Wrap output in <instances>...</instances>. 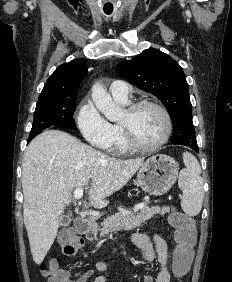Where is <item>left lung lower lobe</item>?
Segmentation results:
<instances>
[{"label":"left lung lower lobe","mask_w":232,"mask_h":282,"mask_svg":"<svg viewBox=\"0 0 232 282\" xmlns=\"http://www.w3.org/2000/svg\"><path fill=\"white\" fill-rule=\"evenodd\" d=\"M172 143L175 144V145L178 144V145L189 146V147H190L191 149H193L194 151L199 152L198 146H197L196 144H183L181 141H179V140H177V139H175V138H173Z\"/></svg>","instance_id":"1"}]
</instances>
